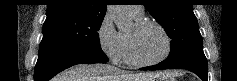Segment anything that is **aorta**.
Returning <instances> with one entry per match:
<instances>
[{"label":"aorta","mask_w":237,"mask_h":81,"mask_svg":"<svg viewBox=\"0 0 237 81\" xmlns=\"http://www.w3.org/2000/svg\"><path fill=\"white\" fill-rule=\"evenodd\" d=\"M107 13L112 17L119 30L126 29L132 23L125 5H108Z\"/></svg>","instance_id":"obj_1"}]
</instances>
